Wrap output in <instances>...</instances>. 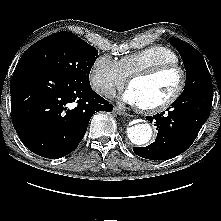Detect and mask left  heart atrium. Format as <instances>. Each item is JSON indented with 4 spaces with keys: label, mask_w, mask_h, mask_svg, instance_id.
Listing matches in <instances>:
<instances>
[{
    "label": "left heart atrium",
    "mask_w": 221,
    "mask_h": 221,
    "mask_svg": "<svg viewBox=\"0 0 221 221\" xmlns=\"http://www.w3.org/2000/svg\"><path fill=\"white\" fill-rule=\"evenodd\" d=\"M123 100L132 105H139L134 91L129 87L123 94Z\"/></svg>",
    "instance_id": "1"
}]
</instances>
